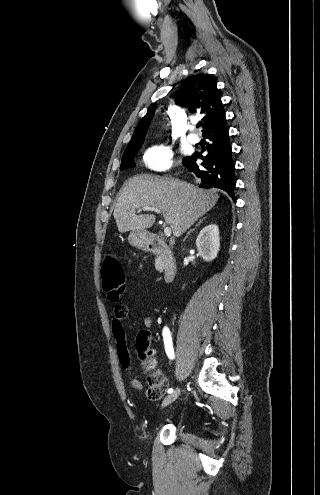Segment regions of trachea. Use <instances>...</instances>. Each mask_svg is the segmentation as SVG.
Returning <instances> with one entry per match:
<instances>
[{
    "instance_id": "obj_1",
    "label": "trachea",
    "mask_w": 320,
    "mask_h": 495,
    "mask_svg": "<svg viewBox=\"0 0 320 495\" xmlns=\"http://www.w3.org/2000/svg\"><path fill=\"white\" fill-rule=\"evenodd\" d=\"M202 126V123H198L197 124V128L201 127Z\"/></svg>"
}]
</instances>
